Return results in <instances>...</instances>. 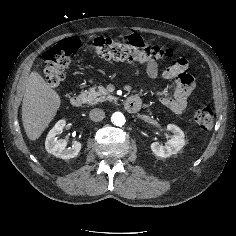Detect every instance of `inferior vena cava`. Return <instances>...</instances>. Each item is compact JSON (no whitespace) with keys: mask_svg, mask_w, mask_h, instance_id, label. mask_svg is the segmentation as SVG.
Instances as JSON below:
<instances>
[{"mask_svg":"<svg viewBox=\"0 0 236 236\" xmlns=\"http://www.w3.org/2000/svg\"><path fill=\"white\" fill-rule=\"evenodd\" d=\"M89 117L94 122H99L105 118V112L102 109L95 108L89 113Z\"/></svg>","mask_w":236,"mask_h":236,"instance_id":"602c4592","label":"inferior vena cava"}]
</instances>
